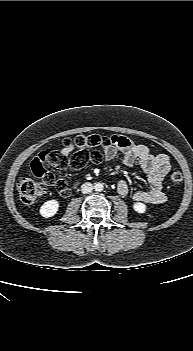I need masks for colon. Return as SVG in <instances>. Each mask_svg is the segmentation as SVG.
<instances>
[{
    "label": "colon",
    "mask_w": 193,
    "mask_h": 351,
    "mask_svg": "<svg viewBox=\"0 0 193 351\" xmlns=\"http://www.w3.org/2000/svg\"><path fill=\"white\" fill-rule=\"evenodd\" d=\"M65 145H72L76 148V152L71 157L58 152L44 151L32 161V171L41 178V181H34L26 177L19 179L17 188L22 202L34 203L46 192L48 186H54L60 194L67 195L69 192L67 182L62 178L56 179L46 167L78 170L90 163H99L103 159L101 150L111 147L113 141L108 136L81 135L66 140ZM168 179L172 187H178L183 180L182 172L178 167L173 166L169 169Z\"/></svg>",
    "instance_id": "5ec220e1"
}]
</instances>
